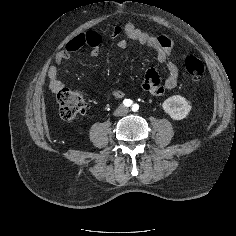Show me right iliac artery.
<instances>
[{"label":"right iliac artery","mask_w":236,"mask_h":236,"mask_svg":"<svg viewBox=\"0 0 236 236\" xmlns=\"http://www.w3.org/2000/svg\"><path fill=\"white\" fill-rule=\"evenodd\" d=\"M123 104H124L125 106L129 107V106L132 105V100H130V99H125V100L123 101Z\"/></svg>","instance_id":"1"}]
</instances>
